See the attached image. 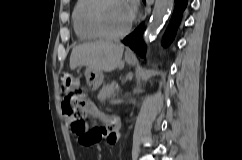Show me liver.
<instances>
[{
  "label": "liver",
  "mask_w": 242,
  "mask_h": 160,
  "mask_svg": "<svg viewBox=\"0 0 242 160\" xmlns=\"http://www.w3.org/2000/svg\"><path fill=\"white\" fill-rule=\"evenodd\" d=\"M124 46L112 42L96 41L73 48L70 69L86 66V71H114L121 64Z\"/></svg>",
  "instance_id": "obj_1"
}]
</instances>
